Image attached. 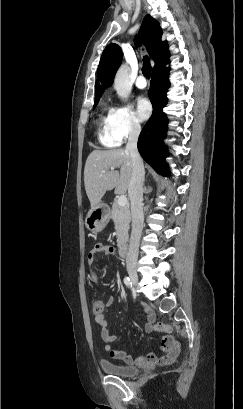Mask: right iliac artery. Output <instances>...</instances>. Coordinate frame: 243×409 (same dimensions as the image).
Masks as SVG:
<instances>
[{"label":"right iliac artery","mask_w":243,"mask_h":409,"mask_svg":"<svg viewBox=\"0 0 243 409\" xmlns=\"http://www.w3.org/2000/svg\"><path fill=\"white\" fill-rule=\"evenodd\" d=\"M124 283H125V285L127 286V287H132V282H131V280H130V278L129 277H125L124 278Z\"/></svg>","instance_id":"1"}]
</instances>
